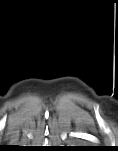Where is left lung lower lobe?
<instances>
[{
    "instance_id": "left-lung-lower-lobe-1",
    "label": "left lung lower lobe",
    "mask_w": 118,
    "mask_h": 151,
    "mask_svg": "<svg viewBox=\"0 0 118 151\" xmlns=\"http://www.w3.org/2000/svg\"><path fill=\"white\" fill-rule=\"evenodd\" d=\"M73 151H93L94 149H87V148H82V147H78V148H74L72 149Z\"/></svg>"
}]
</instances>
